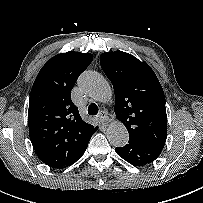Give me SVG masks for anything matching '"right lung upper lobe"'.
<instances>
[{
  "mask_svg": "<svg viewBox=\"0 0 203 203\" xmlns=\"http://www.w3.org/2000/svg\"><path fill=\"white\" fill-rule=\"evenodd\" d=\"M92 59L90 53L58 54L41 68L32 86L29 136L38 158L51 167L73 164L98 129L82 120L71 100L75 82Z\"/></svg>",
  "mask_w": 203,
  "mask_h": 203,
  "instance_id": "1",
  "label": "right lung upper lobe"
}]
</instances>
